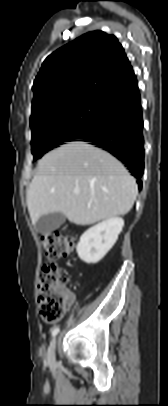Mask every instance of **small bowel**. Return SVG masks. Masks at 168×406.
Masks as SVG:
<instances>
[{
  "label": "small bowel",
  "instance_id": "c3829d8e",
  "mask_svg": "<svg viewBox=\"0 0 168 406\" xmlns=\"http://www.w3.org/2000/svg\"><path fill=\"white\" fill-rule=\"evenodd\" d=\"M74 300H75L74 293L72 291L66 289V292H65V307L69 308L74 303Z\"/></svg>",
  "mask_w": 168,
  "mask_h": 406
}]
</instances>
